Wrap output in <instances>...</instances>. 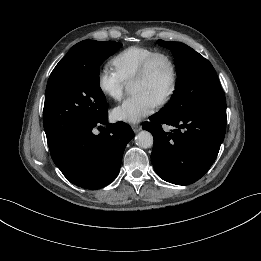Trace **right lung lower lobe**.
Instances as JSON below:
<instances>
[{"instance_id":"right-lung-lower-lobe-1","label":"right lung lower lobe","mask_w":261,"mask_h":261,"mask_svg":"<svg viewBox=\"0 0 261 261\" xmlns=\"http://www.w3.org/2000/svg\"><path fill=\"white\" fill-rule=\"evenodd\" d=\"M107 120L108 114L98 122L74 128L48 144L56 166L79 187L102 188L119 172L124 149L134 133L124 122L110 124ZM95 127L103 128L105 132L95 135Z\"/></svg>"}]
</instances>
